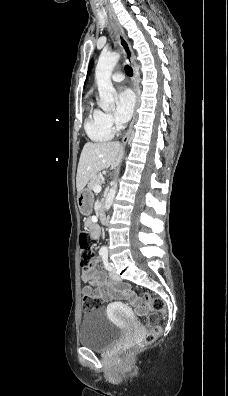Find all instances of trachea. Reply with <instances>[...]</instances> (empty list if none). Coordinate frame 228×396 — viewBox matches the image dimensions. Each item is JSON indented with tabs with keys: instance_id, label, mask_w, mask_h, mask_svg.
Wrapping results in <instances>:
<instances>
[{
	"instance_id": "1",
	"label": "trachea",
	"mask_w": 228,
	"mask_h": 396,
	"mask_svg": "<svg viewBox=\"0 0 228 396\" xmlns=\"http://www.w3.org/2000/svg\"><path fill=\"white\" fill-rule=\"evenodd\" d=\"M125 70H126V73H127L129 76H133V70H132V68H131L130 66L126 65V66H125Z\"/></svg>"
}]
</instances>
